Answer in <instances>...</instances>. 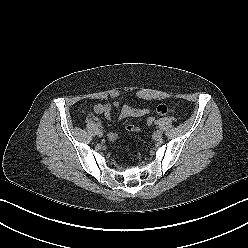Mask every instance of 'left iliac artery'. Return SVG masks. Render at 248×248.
I'll return each mask as SVG.
<instances>
[{
    "label": "left iliac artery",
    "mask_w": 248,
    "mask_h": 248,
    "mask_svg": "<svg viewBox=\"0 0 248 248\" xmlns=\"http://www.w3.org/2000/svg\"><path fill=\"white\" fill-rule=\"evenodd\" d=\"M155 124H158V120L154 122Z\"/></svg>",
    "instance_id": "obj_1"
}]
</instances>
